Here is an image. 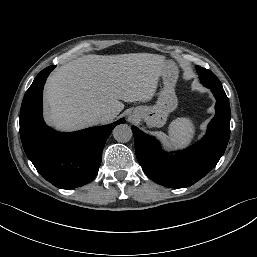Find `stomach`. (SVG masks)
<instances>
[{
  "instance_id": "1",
  "label": "stomach",
  "mask_w": 257,
  "mask_h": 257,
  "mask_svg": "<svg viewBox=\"0 0 257 257\" xmlns=\"http://www.w3.org/2000/svg\"><path fill=\"white\" fill-rule=\"evenodd\" d=\"M163 88L159 93L157 102L153 106H139L133 111L134 117L146 122L148 127H162L168 115L178 106V99L175 94V86L178 80L176 66L166 61L161 73Z\"/></svg>"
}]
</instances>
